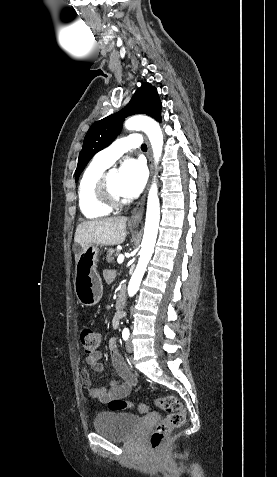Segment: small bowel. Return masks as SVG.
I'll return each instance as SVG.
<instances>
[{
	"label": "small bowel",
	"mask_w": 277,
	"mask_h": 477,
	"mask_svg": "<svg viewBox=\"0 0 277 477\" xmlns=\"http://www.w3.org/2000/svg\"><path fill=\"white\" fill-rule=\"evenodd\" d=\"M105 279L111 281L114 277L112 271H106ZM122 316L116 315L112 320V326L117 328L119 326ZM109 350L111 354L112 364L121 380H112L110 382V388L106 387H94L91 383L89 373L86 369L81 372V379L88 395L95 400L102 403H109L113 399H124L127 397L137 383L136 376L130 371L123 357L118 351L117 340L112 337L109 340ZM102 352L96 351L92 355L86 357V364L95 372H101L103 370V364L101 363Z\"/></svg>",
	"instance_id": "c3829d8e"
}]
</instances>
